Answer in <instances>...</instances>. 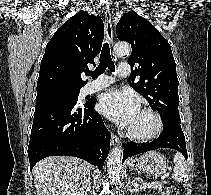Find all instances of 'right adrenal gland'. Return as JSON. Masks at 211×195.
I'll return each mask as SVG.
<instances>
[{"label":"right adrenal gland","mask_w":211,"mask_h":195,"mask_svg":"<svg viewBox=\"0 0 211 195\" xmlns=\"http://www.w3.org/2000/svg\"><path fill=\"white\" fill-rule=\"evenodd\" d=\"M90 191H91V182L89 183V186H88V188L86 189L84 195H88Z\"/></svg>","instance_id":"2a0ac1e0"}]
</instances>
